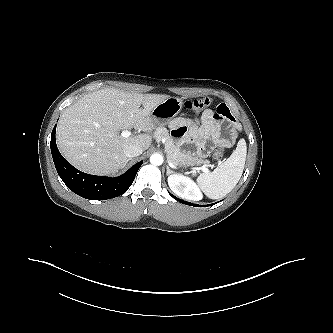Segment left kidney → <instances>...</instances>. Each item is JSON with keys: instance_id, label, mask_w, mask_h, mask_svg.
Returning a JSON list of instances; mask_svg holds the SVG:
<instances>
[{"instance_id": "obj_1", "label": "left kidney", "mask_w": 333, "mask_h": 333, "mask_svg": "<svg viewBox=\"0 0 333 333\" xmlns=\"http://www.w3.org/2000/svg\"><path fill=\"white\" fill-rule=\"evenodd\" d=\"M170 189L179 197L198 201L203 198L198 186L190 178L179 174H173L168 177Z\"/></svg>"}]
</instances>
